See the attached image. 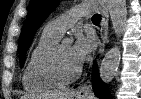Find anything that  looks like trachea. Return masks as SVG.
<instances>
[{
  "label": "trachea",
  "mask_w": 141,
  "mask_h": 99,
  "mask_svg": "<svg viewBox=\"0 0 141 99\" xmlns=\"http://www.w3.org/2000/svg\"><path fill=\"white\" fill-rule=\"evenodd\" d=\"M92 21L99 23L101 21V16L99 14L93 15Z\"/></svg>",
  "instance_id": "obj_1"
}]
</instances>
